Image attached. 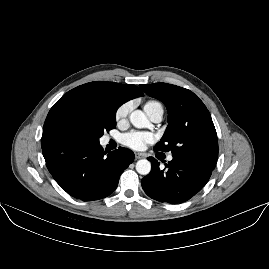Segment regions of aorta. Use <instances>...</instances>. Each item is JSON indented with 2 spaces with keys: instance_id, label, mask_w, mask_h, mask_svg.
I'll list each match as a JSON object with an SVG mask.
<instances>
[{
  "instance_id": "obj_1",
  "label": "aorta",
  "mask_w": 269,
  "mask_h": 269,
  "mask_svg": "<svg viewBox=\"0 0 269 269\" xmlns=\"http://www.w3.org/2000/svg\"><path fill=\"white\" fill-rule=\"evenodd\" d=\"M130 122L136 128L142 129L150 126V121L141 110H135L130 115ZM136 171L141 175H147L151 171V163L147 159H140L136 163Z\"/></svg>"
}]
</instances>
